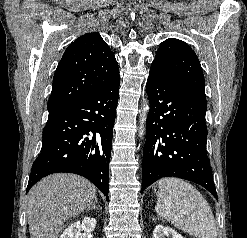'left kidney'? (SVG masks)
<instances>
[{
    "instance_id": "obj_1",
    "label": "left kidney",
    "mask_w": 247,
    "mask_h": 238,
    "mask_svg": "<svg viewBox=\"0 0 247 238\" xmlns=\"http://www.w3.org/2000/svg\"><path fill=\"white\" fill-rule=\"evenodd\" d=\"M184 238L182 235L178 234L175 230L164 227L163 225H157L153 231V238Z\"/></svg>"
}]
</instances>
